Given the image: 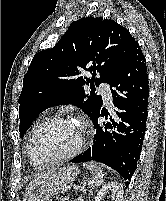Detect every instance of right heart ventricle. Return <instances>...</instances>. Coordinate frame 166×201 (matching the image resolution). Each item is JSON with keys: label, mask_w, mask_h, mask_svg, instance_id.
Returning <instances> with one entry per match:
<instances>
[{"label": "right heart ventricle", "mask_w": 166, "mask_h": 201, "mask_svg": "<svg viewBox=\"0 0 166 201\" xmlns=\"http://www.w3.org/2000/svg\"><path fill=\"white\" fill-rule=\"evenodd\" d=\"M42 120H43V119H42ZM42 120H41V121H42ZM41 121H40V122H41ZM40 122H39V123H40ZM39 123H38V124H39ZM38 124H37V125H38ZM37 125H36V126H37ZM36 126H35V127H36Z\"/></svg>", "instance_id": "1"}]
</instances>
